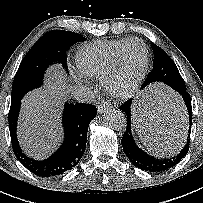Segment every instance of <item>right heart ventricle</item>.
I'll use <instances>...</instances> for the list:
<instances>
[{"mask_svg": "<svg viewBox=\"0 0 203 203\" xmlns=\"http://www.w3.org/2000/svg\"><path fill=\"white\" fill-rule=\"evenodd\" d=\"M128 40L97 42L81 47L76 56L80 71L85 76L102 79Z\"/></svg>", "mask_w": 203, "mask_h": 203, "instance_id": "right-heart-ventricle-1", "label": "right heart ventricle"}]
</instances>
